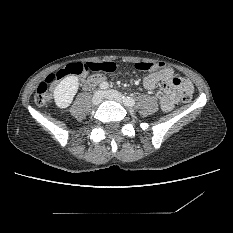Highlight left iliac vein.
Here are the masks:
<instances>
[{"instance_id": "obj_1", "label": "left iliac vein", "mask_w": 233, "mask_h": 233, "mask_svg": "<svg viewBox=\"0 0 233 233\" xmlns=\"http://www.w3.org/2000/svg\"><path fill=\"white\" fill-rule=\"evenodd\" d=\"M104 97L106 99L113 100V101L120 102V103L123 100L122 95L116 90H107V91H105L104 92Z\"/></svg>"}]
</instances>
